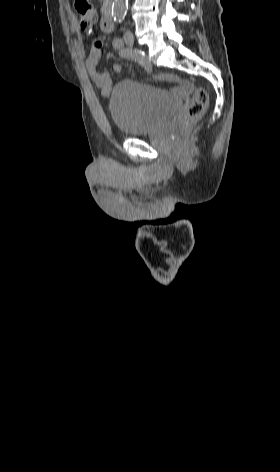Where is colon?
Segmentation results:
<instances>
[{"mask_svg": "<svg viewBox=\"0 0 280 472\" xmlns=\"http://www.w3.org/2000/svg\"><path fill=\"white\" fill-rule=\"evenodd\" d=\"M75 8L79 16L81 29L90 33L96 22L97 13L89 0H76ZM208 105V94L204 88H196L192 101L184 115L181 131L187 133L204 114Z\"/></svg>", "mask_w": 280, "mask_h": 472, "instance_id": "1", "label": "colon"}]
</instances>
